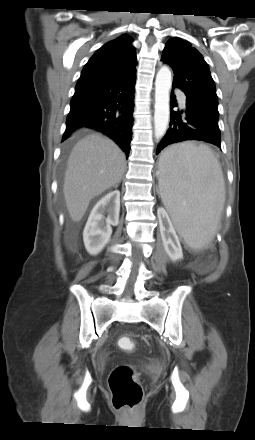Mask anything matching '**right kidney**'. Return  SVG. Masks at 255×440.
<instances>
[{
    "mask_svg": "<svg viewBox=\"0 0 255 440\" xmlns=\"http://www.w3.org/2000/svg\"><path fill=\"white\" fill-rule=\"evenodd\" d=\"M107 212V218L104 213ZM120 191L115 190L101 198L93 207L83 231L87 252L97 255L109 242L112 227L119 224Z\"/></svg>",
    "mask_w": 255,
    "mask_h": 440,
    "instance_id": "ca27d5eb",
    "label": "right kidney"
}]
</instances>
